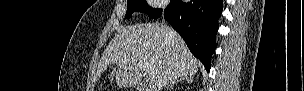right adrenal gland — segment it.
I'll use <instances>...</instances> for the list:
<instances>
[{
  "instance_id": "right-adrenal-gland-1",
  "label": "right adrenal gland",
  "mask_w": 304,
  "mask_h": 91,
  "mask_svg": "<svg viewBox=\"0 0 304 91\" xmlns=\"http://www.w3.org/2000/svg\"><path fill=\"white\" fill-rule=\"evenodd\" d=\"M179 82H187V83L191 84V83L193 82V79H192L191 77L180 78V79H178V80L172 82V83L167 87V89L173 88V86H174L175 84H178Z\"/></svg>"
}]
</instances>
